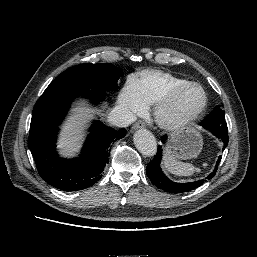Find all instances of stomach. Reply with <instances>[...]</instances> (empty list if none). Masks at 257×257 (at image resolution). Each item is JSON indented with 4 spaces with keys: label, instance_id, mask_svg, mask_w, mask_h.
Wrapping results in <instances>:
<instances>
[{
    "label": "stomach",
    "instance_id": "obj_1",
    "mask_svg": "<svg viewBox=\"0 0 257 257\" xmlns=\"http://www.w3.org/2000/svg\"><path fill=\"white\" fill-rule=\"evenodd\" d=\"M202 146L200 132L195 127H186L172 133L168 151L175 159L186 160L198 156Z\"/></svg>",
    "mask_w": 257,
    "mask_h": 257
}]
</instances>
